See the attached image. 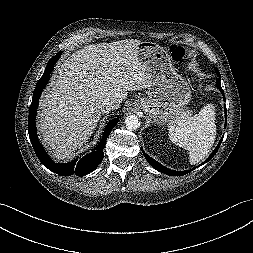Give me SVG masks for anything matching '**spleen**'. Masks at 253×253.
I'll return each instance as SVG.
<instances>
[{
  "label": "spleen",
  "mask_w": 253,
  "mask_h": 253,
  "mask_svg": "<svg viewBox=\"0 0 253 253\" xmlns=\"http://www.w3.org/2000/svg\"><path fill=\"white\" fill-rule=\"evenodd\" d=\"M180 117L168 126L170 140L189 151V161L196 164L203 160L211 150L216 137L215 107L207 104L192 115L182 111Z\"/></svg>",
  "instance_id": "obj_1"
}]
</instances>
